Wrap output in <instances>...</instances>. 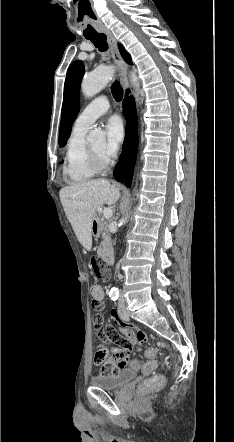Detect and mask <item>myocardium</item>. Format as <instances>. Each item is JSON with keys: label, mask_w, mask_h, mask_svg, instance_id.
<instances>
[{"label": "myocardium", "mask_w": 234, "mask_h": 442, "mask_svg": "<svg viewBox=\"0 0 234 442\" xmlns=\"http://www.w3.org/2000/svg\"><path fill=\"white\" fill-rule=\"evenodd\" d=\"M88 152L90 163L96 171H103L110 166L111 160L96 152L91 146H88Z\"/></svg>", "instance_id": "myocardium-1"}]
</instances>
